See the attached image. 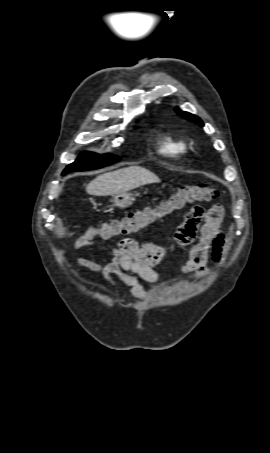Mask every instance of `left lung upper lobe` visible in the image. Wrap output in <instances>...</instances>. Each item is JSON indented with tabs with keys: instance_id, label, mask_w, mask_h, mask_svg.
Listing matches in <instances>:
<instances>
[{
	"instance_id": "left-lung-upper-lobe-1",
	"label": "left lung upper lobe",
	"mask_w": 270,
	"mask_h": 453,
	"mask_svg": "<svg viewBox=\"0 0 270 453\" xmlns=\"http://www.w3.org/2000/svg\"><path fill=\"white\" fill-rule=\"evenodd\" d=\"M175 111L182 117L186 118L187 120L193 121V122L199 124L200 126H204L203 122L201 121V119L199 117H197L193 114H190L188 112L181 111L178 108H176Z\"/></svg>"
}]
</instances>
